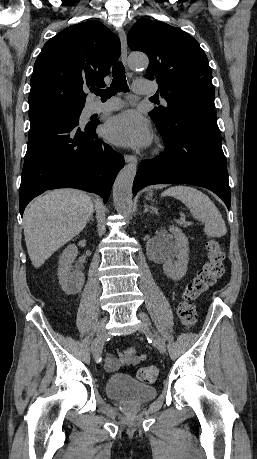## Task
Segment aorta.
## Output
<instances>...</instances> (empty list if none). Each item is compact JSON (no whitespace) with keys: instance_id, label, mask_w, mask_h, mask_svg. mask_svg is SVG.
Returning a JSON list of instances; mask_svg holds the SVG:
<instances>
[{"instance_id":"1","label":"aorta","mask_w":257,"mask_h":459,"mask_svg":"<svg viewBox=\"0 0 257 459\" xmlns=\"http://www.w3.org/2000/svg\"><path fill=\"white\" fill-rule=\"evenodd\" d=\"M133 69L146 68L148 58L143 54H132L129 58ZM137 171L136 162L124 166L113 185V202L118 213L129 216L132 212V186Z\"/></svg>"}]
</instances>
